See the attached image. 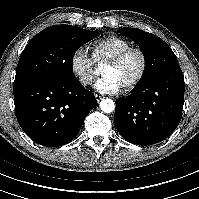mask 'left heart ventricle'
Here are the masks:
<instances>
[{
	"mask_svg": "<svg viewBox=\"0 0 199 199\" xmlns=\"http://www.w3.org/2000/svg\"><path fill=\"white\" fill-rule=\"evenodd\" d=\"M141 61L137 52L130 53L122 64L118 67H104L102 75L113 77L123 87L126 83L131 81L140 69Z\"/></svg>",
	"mask_w": 199,
	"mask_h": 199,
	"instance_id": "obj_1",
	"label": "left heart ventricle"
}]
</instances>
